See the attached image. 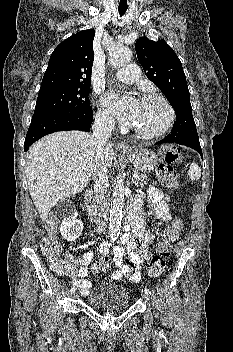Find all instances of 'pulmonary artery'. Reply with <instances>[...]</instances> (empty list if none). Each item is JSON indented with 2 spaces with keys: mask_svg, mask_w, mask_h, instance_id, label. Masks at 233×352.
I'll return each instance as SVG.
<instances>
[{
  "mask_svg": "<svg viewBox=\"0 0 233 352\" xmlns=\"http://www.w3.org/2000/svg\"><path fill=\"white\" fill-rule=\"evenodd\" d=\"M115 77L125 83H134L140 78V70L138 66L130 64L116 71Z\"/></svg>",
  "mask_w": 233,
  "mask_h": 352,
  "instance_id": "obj_1",
  "label": "pulmonary artery"
}]
</instances>
